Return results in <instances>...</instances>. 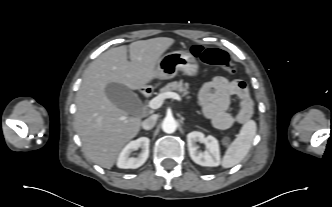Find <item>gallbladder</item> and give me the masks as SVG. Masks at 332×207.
Here are the masks:
<instances>
[{
    "label": "gallbladder",
    "instance_id": "bac80fb5",
    "mask_svg": "<svg viewBox=\"0 0 332 207\" xmlns=\"http://www.w3.org/2000/svg\"><path fill=\"white\" fill-rule=\"evenodd\" d=\"M105 92L109 100L117 107L130 114H137L140 107L138 96L125 85L110 83L106 86Z\"/></svg>",
    "mask_w": 332,
    "mask_h": 207
}]
</instances>
